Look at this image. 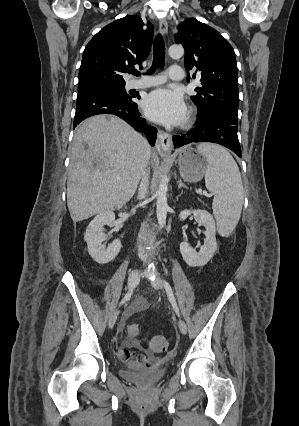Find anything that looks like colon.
<instances>
[{
	"label": "colon",
	"mask_w": 299,
	"mask_h": 426,
	"mask_svg": "<svg viewBox=\"0 0 299 426\" xmlns=\"http://www.w3.org/2000/svg\"><path fill=\"white\" fill-rule=\"evenodd\" d=\"M141 333V327L133 323L128 327V335L131 339L137 340ZM169 346L168 340L163 336H154L149 342V348L155 352H165Z\"/></svg>",
	"instance_id": "1"
}]
</instances>
